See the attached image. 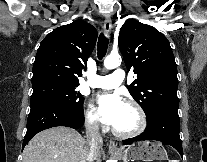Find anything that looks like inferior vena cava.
Listing matches in <instances>:
<instances>
[{
  "label": "inferior vena cava",
  "mask_w": 207,
  "mask_h": 162,
  "mask_svg": "<svg viewBox=\"0 0 207 162\" xmlns=\"http://www.w3.org/2000/svg\"><path fill=\"white\" fill-rule=\"evenodd\" d=\"M86 141L89 144L87 159L89 162L96 160L97 153L103 145V139L100 135L99 123L94 120H88L86 123ZM83 162V161H82Z\"/></svg>",
  "instance_id": "602c4592"
}]
</instances>
